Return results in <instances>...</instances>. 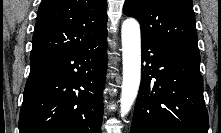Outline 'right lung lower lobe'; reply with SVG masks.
<instances>
[{
	"label": "right lung lower lobe",
	"mask_w": 221,
	"mask_h": 133,
	"mask_svg": "<svg viewBox=\"0 0 221 133\" xmlns=\"http://www.w3.org/2000/svg\"><path fill=\"white\" fill-rule=\"evenodd\" d=\"M106 37L30 59L19 133H101Z\"/></svg>",
	"instance_id": "obj_1"
}]
</instances>
